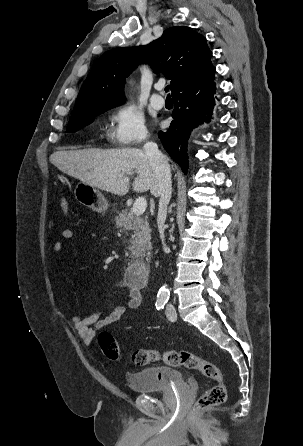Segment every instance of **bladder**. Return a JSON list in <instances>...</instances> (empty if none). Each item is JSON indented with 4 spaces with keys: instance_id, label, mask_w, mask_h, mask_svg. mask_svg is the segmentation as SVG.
<instances>
[{
    "instance_id": "31cf9c89",
    "label": "bladder",
    "mask_w": 303,
    "mask_h": 446,
    "mask_svg": "<svg viewBox=\"0 0 303 446\" xmlns=\"http://www.w3.org/2000/svg\"><path fill=\"white\" fill-rule=\"evenodd\" d=\"M126 379L129 388L136 393L160 392L186 386L180 371L166 367H148L127 374Z\"/></svg>"
}]
</instances>
